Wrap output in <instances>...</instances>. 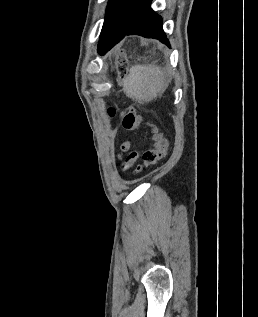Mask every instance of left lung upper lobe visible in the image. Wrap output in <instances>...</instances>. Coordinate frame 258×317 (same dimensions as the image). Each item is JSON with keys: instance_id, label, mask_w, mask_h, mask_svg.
<instances>
[{"instance_id": "5c2ea615", "label": "left lung upper lobe", "mask_w": 258, "mask_h": 317, "mask_svg": "<svg viewBox=\"0 0 258 317\" xmlns=\"http://www.w3.org/2000/svg\"><path fill=\"white\" fill-rule=\"evenodd\" d=\"M132 0H110L103 28L121 29L128 17V8Z\"/></svg>"}]
</instances>
